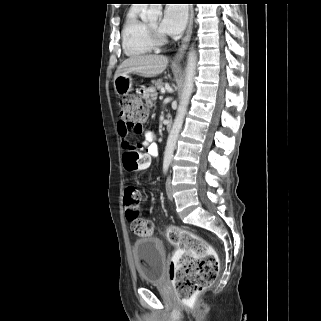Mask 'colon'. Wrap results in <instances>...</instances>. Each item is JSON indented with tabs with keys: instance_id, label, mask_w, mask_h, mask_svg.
I'll return each mask as SVG.
<instances>
[{
	"instance_id": "1",
	"label": "colon",
	"mask_w": 321,
	"mask_h": 321,
	"mask_svg": "<svg viewBox=\"0 0 321 321\" xmlns=\"http://www.w3.org/2000/svg\"><path fill=\"white\" fill-rule=\"evenodd\" d=\"M120 107L121 121L130 131L140 134L148 118L143 101L134 96L124 97ZM149 162V158L139 151H132L124 157L125 168L129 171L144 169ZM124 203L132 231L138 236L152 235L153 223L138 217L140 192L137 188L131 185L125 188ZM166 235L168 241L178 248L170 264V279L177 297L182 301H189L216 279L219 271L218 257L205 240L191 231L170 226Z\"/></svg>"
}]
</instances>
